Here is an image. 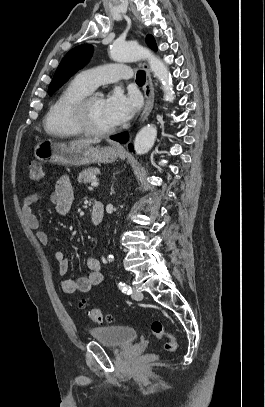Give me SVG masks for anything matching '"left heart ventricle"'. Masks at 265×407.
Masks as SVG:
<instances>
[{
  "label": "left heart ventricle",
  "mask_w": 265,
  "mask_h": 407,
  "mask_svg": "<svg viewBox=\"0 0 265 407\" xmlns=\"http://www.w3.org/2000/svg\"><path fill=\"white\" fill-rule=\"evenodd\" d=\"M90 121L94 128L106 130L113 127L104 108V100L96 97L90 105Z\"/></svg>",
  "instance_id": "obj_1"
}]
</instances>
